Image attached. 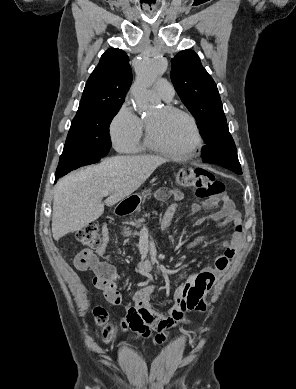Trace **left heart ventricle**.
Returning <instances> with one entry per match:
<instances>
[{"instance_id":"left-heart-ventricle-1","label":"left heart ventricle","mask_w":296,"mask_h":389,"mask_svg":"<svg viewBox=\"0 0 296 389\" xmlns=\"http://www.w3.org/2000/svg\"><path fill=\"white\" fill-rule=\"evenodd\" d=\"M154 140L163 147L174 151L188 148L193 141L190 122L183 116L158 109L146 119Z\"/></svg>"}]
</instances>
